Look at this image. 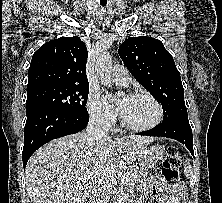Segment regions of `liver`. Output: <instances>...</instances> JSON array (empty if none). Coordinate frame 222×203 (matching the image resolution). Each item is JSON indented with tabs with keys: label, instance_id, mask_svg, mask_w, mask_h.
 <instances>
[{
	"label": "liver",
	"instance_id": "obj_1",
	"mask_svg": "<svg viewBox=\"0 0 222 203\" xmlns=\"http://www.w3.org/2000/svg\"><path fill=\"white\" fill-rule=\"evenodd\" d=\"M154 141L148 136L95 139L68 135L39 148L25 169L32 203H86L96 187L117 179Z\"/></svg>",
	"mask_w": 222,
	"mask_h": 203
}]
</instances>
